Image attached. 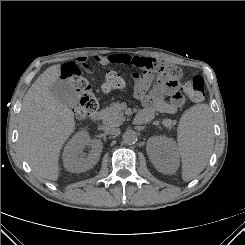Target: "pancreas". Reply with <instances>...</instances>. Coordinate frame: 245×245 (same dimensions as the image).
<instances>
[{"instance_id": "1", "label": "pancreas", "mask_w": 245, "mask_h": 245, "mask_svg": "<svg viewBox=\"0 0 245 245\" xmlns=\"http://www.w3.org/2000/svg\"><path fill=\"white\" fill-rule=\"evenodd\" d=\"M101 114L102 122L108 126H119L125 120L118 103L103 109ZM174 123L175 121L167 118L162 121V124L168 128H171Z\"/></svg>"}]
</instances>
